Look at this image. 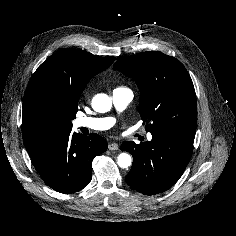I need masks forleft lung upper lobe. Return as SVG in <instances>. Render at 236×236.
<instances>
[{"mask_svg":"<svg viewBox=\"0 0 236 236\" xmlns=\"http://www.w3.org/2000/svg\"><path fill=\"white\" fill-rule=\"evenodd\" d=\"M113 69L134 79L141 90L139 114L148 132L195 135L196 94L180 61L162 52L148 51L120 58Z\"/></svg>","mask_w":236,"mask_h":236,"instance_id":"left-lung-upper-lobe-1","label":"left lung upper lobe"}]
</instances>
